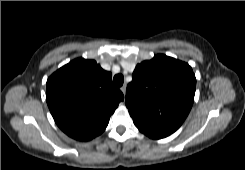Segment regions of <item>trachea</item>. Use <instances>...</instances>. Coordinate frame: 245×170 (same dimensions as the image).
Segmentation results:
<instances>
[{"label": "trachea", "instance_id": "1", "mask_svg": "<svg viewBox=\"0 0 245 170\" xmlns=\"http://www.w3.org/2000/svg\"><path fill=\"white\" fill-rule=\"evenodd\" d=\"M113 81L117 87H121L124 83V76L122 74H117L114 76Z\"/></svg>", "mask_w": 245, "mask_h": 170}]
</instances>
